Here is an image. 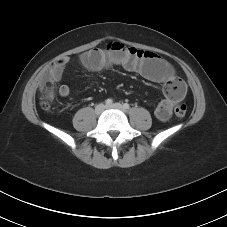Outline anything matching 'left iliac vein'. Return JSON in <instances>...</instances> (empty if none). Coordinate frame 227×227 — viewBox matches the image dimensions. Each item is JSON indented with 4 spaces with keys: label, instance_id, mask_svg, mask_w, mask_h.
<instances>
[{
    "label": "left iliac vein",
    "instance_id": "obj_1",
    "mask_svg": "<svg viewBox=\"0 0 227 227\" xmlns=\"http://www.w3.org/2000/svg\"><path fill=\"white\" fill-rule=\"evenodd\" d=\"M107 108L108 109H117L123 113L126 111L125 108L120 103H114V104L108 105Z\"/></svg>",
    "mask_w": 227,
    "mask_h": 227
}]
</instances>
